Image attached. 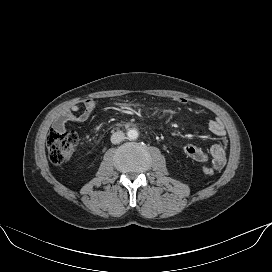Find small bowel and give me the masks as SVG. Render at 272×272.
I'll return each instance as SVG.
<instances>
[{"mask_svg": "<svg viewBox=\"0 0 272 272\" xmlns=\"http://www.w3.org/2000/svg\"><path fill=\"white\" fill-rule=\"evenodd\" d=\"M174 101L177 104H185L187 102L184 98H176ZM95 107L96 100L93 98H89L84 101V109L82 111H80V108L77 105L70 106L56 119L54 122V128L58 131H63L65 130V125L67 123H80L86 121ZM208 129L212 134L220 138L218 143L211 146L207 151L199 146L188 144L184 147V152L187 157L193 161L199 163L210 162L214 169L220 170L226 163V151L228 147L226 131L219 118L212 119L208 124Z\"/></svg>", "mask_w": 272, "mask_h": 272, "instance_id": "1", "label": "small bowel"}]
</instances>
